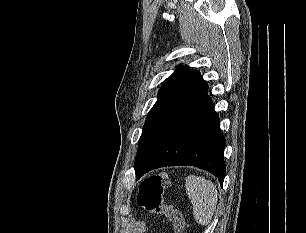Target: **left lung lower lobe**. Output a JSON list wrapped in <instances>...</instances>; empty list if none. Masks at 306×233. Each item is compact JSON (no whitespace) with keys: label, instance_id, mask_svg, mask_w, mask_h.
<instances>
[{"label":"left lung lower lobe","instance_id":"1","mask_svg":"<svg viewBox=\"0 0 306 233\" xmlns=\"http://www.w3.org/2000/svg\"><path fill=\"white\" fill-rule=\"evenodd\" d=\"M219 122L206 93L162 137L137 170L136 178L164 166L191 165L217 176L222 186L226 175L225 138L219 131Z\"/></svg>","mask_w":306,"mask_h":233}]
</instances>
